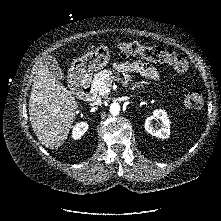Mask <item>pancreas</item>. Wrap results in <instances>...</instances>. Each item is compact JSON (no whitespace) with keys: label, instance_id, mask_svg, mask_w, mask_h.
Wrapping results in <instances>:
<instances>
[{"label":"pancreas","instance_id":"1","mask_svg":"<svg viewBox=\"0 0 221 221\" xmlns=\"http://www.w3.org/2000/svg\"><path fill=\"white\" fill-rule=\"evenodd\" d=\"M113 72L110 70H103L94 75L92 85L93 88L100 94L105 95L110 91V80L114 78ZM138 86H133L132 89Z\"/></svg>","mask_w":221,"mask_h":221}]
</instances>
